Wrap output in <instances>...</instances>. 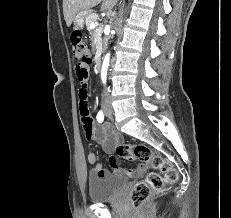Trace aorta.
Returning a JSON list of instances; mask_svg holds the SVG:
<instances>
[{
  "label": "aorta",
  "mask_w": 231,
  "mask_h": 218,
  "mask_svg": "<svg viewBox=\"0 0 231 218\" xmlns=\"http://www.w3.org/2000/svg\"><path fill=\"white\" fill-rule=\"evenodd\" d=\"M109 60H110V54H106V56L103 60L102 69H101V79H102L103 83L106 82Z\"/></svg>",
  "instance_id": "1"
}]
</instances>
